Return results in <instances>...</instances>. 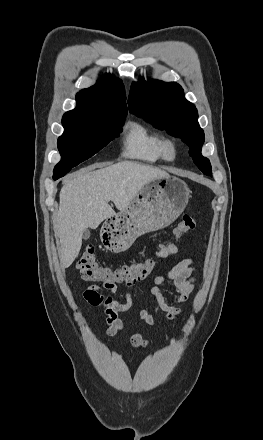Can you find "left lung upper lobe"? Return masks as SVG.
I'll return each mask as SVG.
<instances>
[{"mask_svg": "<svg viewBox=\"0 0 263 440\" xmlns=\"http://www.w3.org/2000/svg\"><path fill=\"white\" fill-rule=\"evenodd\" d=\"M128 105L133 114L181 138L190 147L189 154L198 168L212 174L209 160L201 155L204 132L197 121V110L184 98L180 85L141 78L131 85Z\"/></svg>", "mask_w": 263, "mask_h": 440, "instance_id": "obj_1", "label": "left lung upper lobe"}]
</instances>
